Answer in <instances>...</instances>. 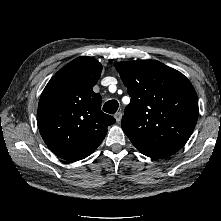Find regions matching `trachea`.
Segmentation results:
<instances>
[{"instance_id": "obj_1", "label": "trachea", "mask_w": 221, "mask_h": 221, "mask_svg": "<svg viewBox=\"0 0 221 221\" xmlns=\"http://www.w3.org/2000/svg\"><path fill=\"white\" fill-rule=\"evenodd\" d=\"M118 107H119V104L116 100H109L104 104L103 110L106 113L114 114L118 110Z\"/></svg>"}]
</instances>
